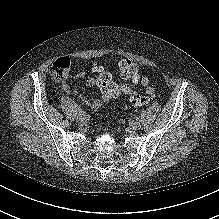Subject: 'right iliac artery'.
Wrapping results in <instances>:
<instances>
[{
    "mask_svg": "<svg viewBox=\"0 0 219 219\" xmlns=\"http://www.w3.org/2000/svg\"><path fill=\"white\" fill-rule=\"evenodd\" d=\"M79 113H84V110L82 108H78Z\"/></svg>",
    "mask_w": 219,
    "mask_h": 219,
    "instance_id": "82829eb1",
    "label": "right iliac artery"
}]
</instances>
